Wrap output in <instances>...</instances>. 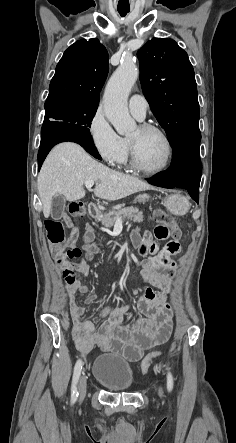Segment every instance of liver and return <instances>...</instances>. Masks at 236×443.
<instances>
[{
	"label": "liver",
	"mask_w": 236,
	"mask_h": 443,
	"mask_svg": "<svg viewBox=\"0 0 236 443\" xmlns=\"http://www.w3.org/2000/svg\"><path fill=\"white\" fill-rule=\"evenodd\" d=\"M89 180L97 183L95 196L110 201L152 188L138 178L95 161L75 143H61L49 153L37 178L45 218L51 214L54 196L60 194L68 201L80 200L85 196L83 185Z\"/></svg>",
	"instance_id": "obj_1"
}]
</instances>
